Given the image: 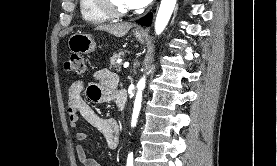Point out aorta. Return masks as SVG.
<instances>
[{
    "label": "aorta",
    "instance_id": "obj_1",
    "mask_svg": "<svg viewBox=\"0 0 277 166\" xmlns=\"http://www.w3.org/2000/svg\"><path fill=\"white\" fill-rule=\"evenodd\" d=\"M176 0H161L160 8L155 21V33L160 35L167 26L169 19L173 13ZM145 76H143L137 84V94L134 102L131 126L134 127L137 123V118L141 109L142 91L145 88Z\"/></svg>",
    "mask_w": 277,
    "mask_h": 166
}]
</instances>
